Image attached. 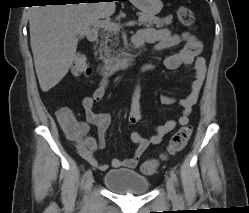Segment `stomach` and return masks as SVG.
Here are the masks:
<instances>
[{
  "instance_id": "1",
  "label": "stomach",
  "mask_w": 249,
  "mask_h": 213,
  "mask_svg": "<svg viewBox=\"0 0 249 213\" xmlns=\"http://www.w3.org/2000/svg\"><path fill=\"white\" fill-rule=\"evenodd\" d=\"M133 5L139 9L142 13L147 15H156L158 14L163 4L161 0H130Z\"/></svg>"
}]
</instances>
